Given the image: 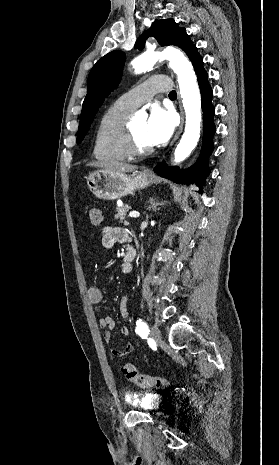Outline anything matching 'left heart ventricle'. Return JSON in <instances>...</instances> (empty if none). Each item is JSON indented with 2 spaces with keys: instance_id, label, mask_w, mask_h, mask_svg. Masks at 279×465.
Here are the masks:
<instances>
[{
  "instance_id": "b2bd125f",
  "label": "left heart ventricle",
  "mask_w": 279,
  "mask_h": 465,
  "mask_svg": "<svg viewBox=\"0 0 279 465\" xmlns=\"http://www.w3.org/2000/svg\"><path fill=\"white\" fill-rule=\"evenodd\" d=\"M146 121H136L130 125L137 147L146 149L151 147L145 132Z\"/></svg>"
}]
</instances>
